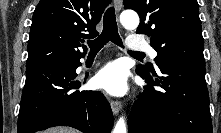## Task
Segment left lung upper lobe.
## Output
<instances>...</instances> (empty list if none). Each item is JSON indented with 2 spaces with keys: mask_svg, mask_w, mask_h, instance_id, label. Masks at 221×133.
Returning a JSON list of instances; mask_svg holds the SVG:
<instances>
[{
  "mask_svg": "<svg viewBox=\"0 0 221 133\" xmlns=\"http://www.w3.org/2000/svg\"><path fill=\"white\" fill-rule=\"evenodd\" d=\"M124 7L139 14L136 32L150 37L151 46L158 53V67L172 61L205 65L196 0H124ZM148 69L155 72L151 64L145 70Z\"/></svg>",
  "mask_w": 221,
  "mask_h": 133,
  "instance_id": "obj_1",
  "label": "left lung upper lobe"
}]
</instances>
